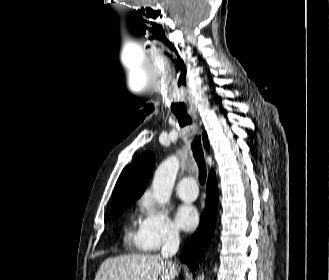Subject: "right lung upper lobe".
<instances>
[{
    "label": "right lung upper lobe",
    "instance_id": "right-lung-upper-lobe-1",
    "mask_svg": "<svg viewBox=\"0 0 329 280\" xmlns=\"http://www.w3.org/2000/svg\"><path fill=\"white\" fill-rule=\"evenodd\" d=\"M203 143L208 150L209 144L206 133H203ZM154 160V154L145 153L136 158L132 165L123 169L114 188L111 208L123 200L139 198L143 194L152 174Z\"/></svg>",
    "mask_w": 329,
    "mask_h": 280
}]
</instances>
